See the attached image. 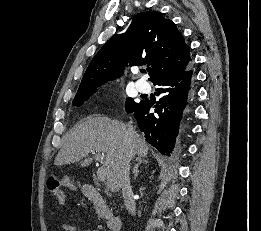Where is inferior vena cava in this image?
I'll return each instance as SVG.
<instances>
[{
  "instance_id": "1",
  "label": "inferior vena cava",
  "mask_w": 261,
  "mask_h": 231,
  "mask_svg": "<svg viewBox=\"0 0 261 231\" xmlns=\"http://www.w3.org/2000/svg\"><path fill=\"white\" fill-rule=\"evenodd\" d=\"M127 132H128V136L130 138H133L134 136V128L131 125L127 126ZM129 162H127L126 164V168L123 174V181H122V195H123V199H124V204L126 209L128 210V212L132 215H135L136 212V206H135V202L133 200V192H132V187L130 184V179H129Z\"/></svg>"
}]
</instances>
